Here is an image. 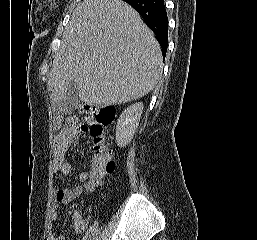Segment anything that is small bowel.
I'll return each instance as SVG.
<instances>
[{
    "label": "small bowel",
    "mask_w": 257,
    "mask_h": 240,
    "mask_svg": "<svg viewBox=\"0 0 257 240\" xmlns=\"http://www.w3.org/2000/svg\"><path fill=\"white\" fill-rule=\"evenodd\" d=\"M87 128L83 124H74L68 122L61 128L55 137V170L61 175L68 176L73 171V166L65 158L67 148L75 141L80 135L85 133ZM88 179V172L82 171L78 175L80 184L74 188L59 189L55 193V201L50 209V221L55 222L58 217V204H70L75 201L86 189V181ZM75 230L80 231L84 228L85 223L82 221L78 214L74 216ZM82 222V226H80ZM47 240H66L63 236L57 235L52 231L49 232Z\"/></svg>",
    "instance_id": "obj_1"
}]
</instances>
